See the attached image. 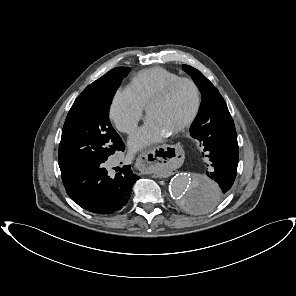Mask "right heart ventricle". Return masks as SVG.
<instances>
[{
	"mask_svg": "<svg viewBox=\"0 0 296 296\" xmlns=\"http://www.w3.org/2000/svg\"><path fill=\"white\" fill-rule=\"evenodd\" d=\"M178 74L162 67H152L138 72L128 83L126 90L143 107L173 81Z\"/></svg>",
	"mask_w": 296,
	"mask_h": 296,
	"instance_id": "right-heart-ventricle-1",
	"label": "right heart ventricle"
}]
</instances>
